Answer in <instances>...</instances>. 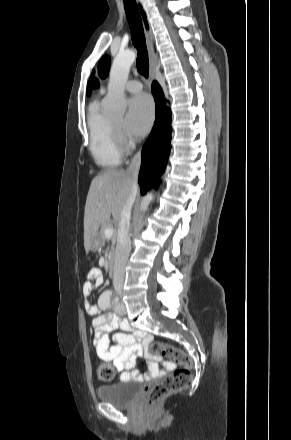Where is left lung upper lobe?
<instances>
[{
	"mask_svg": "<svg viewBox=\"0 0 291 440\" xmlns=\"http://www.w3.org/2000/svg\"><path fill=\"white\" fill-rule=\"evenodd\" d=\"M110 66V60L107 55H105L99 62L98 65V74L101 78H105L108 73V69ZM95 87H99V83L97 80H95Z\"/></svg>",
	"mask_w": 291,
	"mask_h": 440,
	"instance_id": "1",
	"label": "left lung upper lobe"
}]
</instances>
